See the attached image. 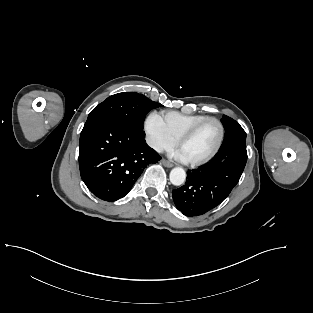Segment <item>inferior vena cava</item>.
I'll list each match as a JSON object with an SVG mask.
<instances>
[{"label": "inferior vena cava", "mask_w": 313, "mask_h": 313, "mask_svg": "<svg viewBox=\"0 0 313 313\" xmlns=\"http://www.w3.org/2000/svg\"><path fill=\"white\" fill-rule=\"evenodd\" d=\"M148 143L150 144L151 147H153L157 152L161 153L163 151V148L160 144L156 143V142H152L150 140H148Z\"/></svg>", "instance_id": "obj_1"}]
</instances>
